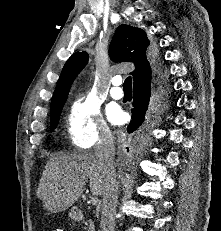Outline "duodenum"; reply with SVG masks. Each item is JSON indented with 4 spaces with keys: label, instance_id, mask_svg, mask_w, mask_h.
<instances>
[{
    "label": "duodenum",
    "instance_id": "duodenum-1",
    "mask_svg": "<svg viewBox=\"0 0 221 231\" xmlns=\"http://www.w3.org/2000/svg\"><path fill=\"white\" fill-rule=\"evenodd\" d=\"M86 217L85 214L79 210V209H75L74 210V220L77 222H83L85 221Z\"/></svg>",
    "mask_w": 221,
    "mask_h": 231
}]
</instances>
